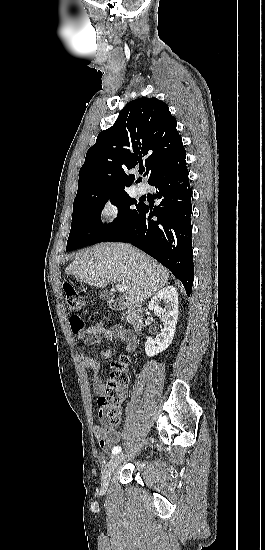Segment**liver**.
Here are the masks:
<instances>
[{"label": "liver", "mask_w": 265, "mask_h": 550, "mask_svg": "<svg viewBox=\"0 0 265 550\" xmlns=\"http://www.w3.org/2000/svg\"><path fill=\"white\" fill-rule=\"evenodd\" d=\"M66 273L100 288L109 283L125 286L124 297L139 304L168 283V270L139 249L126 243H101L76 255Z\"/></svg>", "instance_id": "liver-1"}]
</instances>
